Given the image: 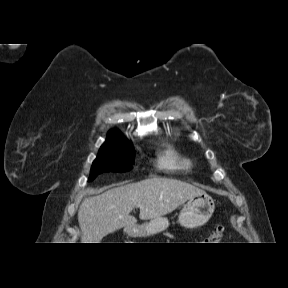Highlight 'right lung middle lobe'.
<instances>
[{
    "label": "right lung middle lobe",
    "mask_w": 288,
    "mask_h": 288,
    "mask_svg": "<svg viewBox=\"0 0 288 288\" xmlns=\"http://www.w3.org/2000/svg\"><path fill=\"white\" fill-rule=\"evenodd\" d=\"M135 151L128 141L114 139L105 141L91 167L89 181L103 172H125L132 169Z\"/></svg>",
    "instance_id": "1"
}]
</instances>
